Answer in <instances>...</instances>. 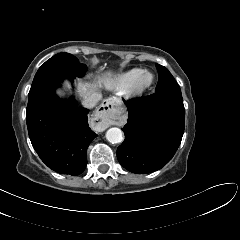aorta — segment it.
<instances>
[{
  "label": "aorta",
  "instance_id": "aorta-1",
  "mask_svg": "<svg viewBox=\"0 0 240 240\" xmlns=\"http://www.w3.org/2000/svg\"><path fill=\"white\" fill-rule=\"evenodd\" d=\"M106 139L112 144L120 143L123 140L122 130L117 127L110 128L106 132Z\"/></svg>",
  "mask_w": 240,
  "mask_h": 240
}]
</instances>
